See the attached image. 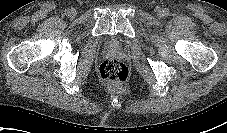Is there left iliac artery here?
Returning a JSON list of instances; mask_svg holds the SVG:
<instances>
[{"mask_svg": "<svg viewBox=\"0 0 227 133\" xmlns=\"http://www.w3.org/2000/svg\"><path fill=\"white\" fill-rule=\"evenodd\" d=\"M165 15H169V10H165Z\"/></svg>", "mask_w": 227, "mask_h": 133, "instance_id": "left-iliac-artery-1", "label": "left iliac artery"}]
</instances>
